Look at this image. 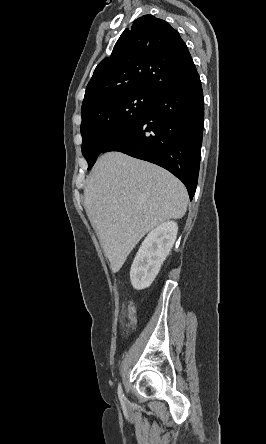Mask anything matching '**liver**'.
Returning a JSON list of instances; mask_svg holds the SVG:
<instances>
[{"label": "liver", "instance_id": "obj_1", "mask_svg": "<svg viewBox=\"0 0 266 444\" xmlns=\"http://www.w3.org/2000/svg\"><path fill=\"white\" fill-rule=\"evenodd\" d=\"M188 195L167 170L121 152L103 154L84 189V206L112 272L150 230L182 218Z\"/></svg>", "mask_w": 266, "mask_h": 444}]
</instances>
